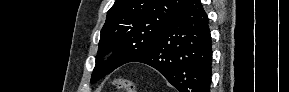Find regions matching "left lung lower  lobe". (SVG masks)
Wrapping results in <instances>:
<instances>
[{
  "instance_id": "left-lung-lower-lobe-1",
  "label": "left lung lower lobe",
  "mask_w": 289,
  "mask_h": 92,
  "mask_svg": "<svg viewBox=\"0 0 289 92\" xmlns=\"http://www.w3.org/2000/svg\"><path fill=\"white\" fill-rule=\"evenodd\" d=\"M212 44L200 0H189L154 44L130 62L157 69L180 92H209Z\"/></svg>"
}]
</instances>
